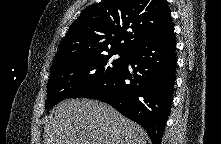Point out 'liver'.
Segmentation results:
<instances>
[{"label": "liver", "mask_w": 221, "mask_h": 144, "mask_svg": "<svg viewBox=\"0 0 221 144\" xmlns=\"http://www.w3.org/2000/svg\"><path fill=\"white\" fill-rule=\"evenodd\" d=\"M44 144H146L145 131L106 103L67 99L44 128Z\"/></svg>", "instance_id": "6515ba94"}]
</instances>
